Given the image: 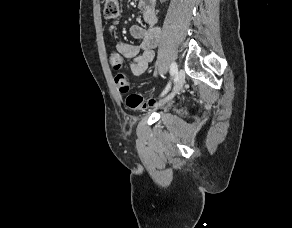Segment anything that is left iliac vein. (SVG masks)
Listing matches in <instances>:
<instances>
[{
  "label": "left iliac vein",
  "mask_w": 292,
  "mask_h": 228,
  "mask_svg": "<svg viewBox=\"0 0 292 228\" xmlns=\"http://www.w3.org/2000/svg\"><path fill=\"white\" fill-rule=\"evenodd\" d=\"M184 82H185V72H184V70L180 69L176 75V81H175L172 92L166 97V99L162 100L160 103H163V102L169 100L176 93H178L181 90V88L183 87Z\"/></svg>",
  "instance_id": "1"
}]
</instances>
